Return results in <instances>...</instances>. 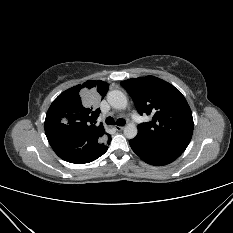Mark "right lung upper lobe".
Segmentation results:
<instances>
[{
    "mask_svg": "<svg viewBox=\"0 0 233 233\" xmlns=\"http://www.w3.org/2000/svg\"><path fill=\"white\" fill-rule=\"evenodd\" d=\"M109 85L101 80L86 81L67 89L51 104L45 119V133L55 153L70 163L93 161L107 149L111 136L103 124L95 125L100 109L88 106L81 92L106 95Z\"/></svg>",
    "mask_w": 233,
    "mask_h": 233,
    "instance_id": "1",
    "label": "right lung upper lobe"
}]
</instances>
